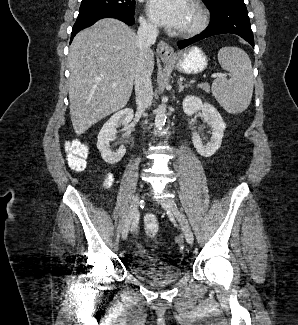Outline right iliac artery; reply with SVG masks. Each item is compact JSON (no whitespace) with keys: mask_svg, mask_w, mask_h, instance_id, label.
Segmentation results:
<instances>
[{"mask_svg":"<svg viewBox=\"0 0 298 325\" xmlns=\"http://www.w3.org/2000/svg\"><path fill=\"white\" fill-rule=\"evenodd\" d=\"M139 223V213L138 211L135 213L133 222H132V227H131V231H135L136 227L138 226Z\"/></svg>","mask_w":298,"mask_h":325,"instance_id":"82829eb1","label":"right iliac artery"}]
</instances>
